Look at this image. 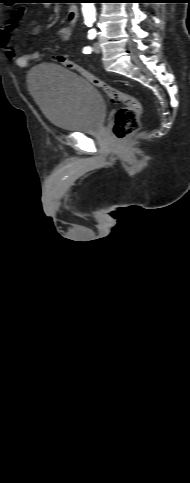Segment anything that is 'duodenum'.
Segmentation results:
<instances>
[{
	"instance_id": "1",
	"label": "duodenum",
	"mask_w": 190,
	"mask_h": 483,
	"mask_svg": "<svg viewBox=\"0 0 190 483\" xmlns=\"http://www.w3.org/2000/svg\"><path fill=\"white\" fill-rule=\"evenodd\" d=\"M78 16H79L78 7L75 5H71L68 8V13H67L69 22L74 24L77 21Z\"/></svg>"
}]
</instances>
